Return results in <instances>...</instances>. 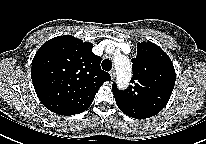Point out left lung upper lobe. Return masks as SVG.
<instances>
[{
	"label": "left lung upper lobe",
	"mask_w": 206,
	"mask_h": 144,
	"mask_svg": "<svg viewBox=\"0 0 206 144\" xmlns=\"http://www.w3.org/2000/svg\"><path fill=\"white\" fill-rule=\"evenodd\" d=\"M132 63V85L124 91L112 87L116 103L132 118L152 117L166 106L173 91L176 77L172 61L156 44L139 42Z\"/></svg>",
	"instance_id": "obj_1"
}]
</instances>
